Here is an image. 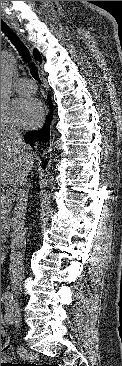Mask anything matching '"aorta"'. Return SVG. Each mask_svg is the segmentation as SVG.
<instances>
[{
    "label": "aorta",
    "instance_id": "aorta-1",
    "mask_svg": "<svg viewBox=\"0 0 122 366\" xmlns=\"http://www.w3.org/2000/svg\"><path fill=\"white\" fill-rule=\"evenodd\" d=\"M16 60L9 52H1V105L10 98Z\"/></svg>",
    "mask_w": 122,
    "mask_h": 366
}]
</instances>
